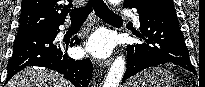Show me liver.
I'll list each match as a JSON object with an SVG mask.
<instances>
[{"mask_svg": "<svg viewBox=\"0 0 205 87\" xmlns=\"http://www.w3.org/2000/svg\"><path fill=\"white\" fill-rule=\"evenodd\" d=\"M6 87H71V84L56 72L27 68L17 73Z\"/></svg>", "mask_w": 205, "mask_h": 87, "instance_id": "obj_1", "label": "liver"}]
</instances>
